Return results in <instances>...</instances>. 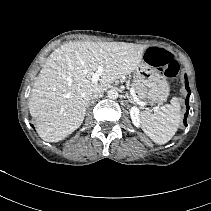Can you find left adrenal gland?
I'll return each mask as SVG.
<instances>
[{
	"mask_svg": "<svg viewBox=\"0 0 211 211\" xmlns=\"http://www.w3.org/2000/svg\"><path fill=\"white\" fill-rule=\"evenodd\" d=\"M125 97L127 98V100H128L130 103L135 104V101L133 100L132 96H130L129 94H126Z\"/></svg>",
	"mask_w": 211,
	"mask_h": 211,
	"instance_id": "left-adrenal-gland-1",
	"label": "left adrenal gland"
}]
</instances>
